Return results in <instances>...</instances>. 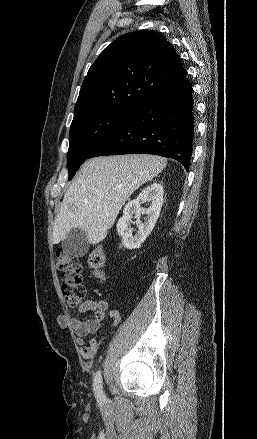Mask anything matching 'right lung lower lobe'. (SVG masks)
<instances>
[{
    "mask_svg": "<svg viewBox=\"0 0 257 439\" xmlns=\"http://www.w3.org/2000/svg\"><path fill=\"white\" fill-rule=\"evenodd\" d=\"M193 136V97L190 82L185 77L144 102L111 131L88 158L156 154L176 159L188 171Z\"/></svg>",
    "mask_w": 257,
    "mask_h": 439,
    "instance_id": "98d812e1",
    "label": "right lung lower lobe"
}]
</instances>
